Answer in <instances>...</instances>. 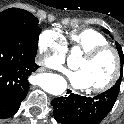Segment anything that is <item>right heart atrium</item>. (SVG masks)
Here are the masks:
<instances>
[{
    "instance_id": "right-heart-atrium-1",
    "label": "right heart atrium",
    "mask_w": 124,
    "mask_h": 124,
    "mask_svg": "<svg viewBox=\"0 0 124 124\" xmlns=\"http://www.w3.org/2000/svg\"><path fill=\"white\" fill-rule=\"evenodd\" d=\"M37 50L44 66L60 70L66 60V49L62 36L55 30H43L37 38Z\"/></svg>"
}]
</instances>
